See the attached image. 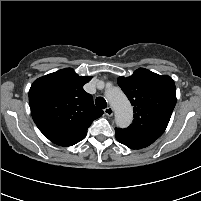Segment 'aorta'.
I'll return each instance as SVG.
<instances>
[{
    "label": "aorta",
    "instance_id": "1",
    "mask_svg": "<svg viewBox=\"0 0 201 201\" xmlns=\"http://www.w3.org/2000/svg\"><path fill=\"white\" fill-rule=\"evenodd\" d=\"M105 95L114 109L117 126L128 127L133 119V110L126 95L118 87L107 90Z\"/></svg>",
    "mask_w": 201,
    "mask_h": 201
}]
</instances>
